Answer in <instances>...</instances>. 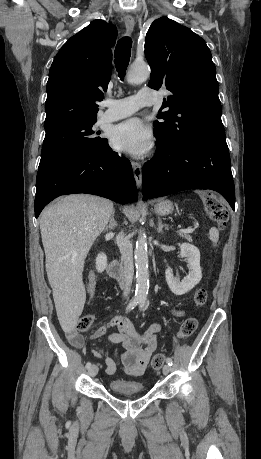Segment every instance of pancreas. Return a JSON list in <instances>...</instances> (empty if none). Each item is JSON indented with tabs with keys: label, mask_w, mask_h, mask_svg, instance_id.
<instances>
[{
	"label": "pancreas",
	"mask_w": 261,
	"mask_h": 459,
	"mask_svg": "<svg viewBox=\"0 0 261 459\" xmlns=\"http://www.w3.org/2000/svg\"><path fill=\"white\" fill-rule=\"evenodd\" d=\"M182 238L186 239L187 241L189 242H192V236L188 235V234H182L180 233L179 234Z\"/></svg>",
	"instance_id": "1"
}]
</instances>
